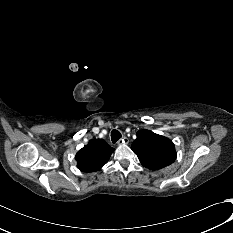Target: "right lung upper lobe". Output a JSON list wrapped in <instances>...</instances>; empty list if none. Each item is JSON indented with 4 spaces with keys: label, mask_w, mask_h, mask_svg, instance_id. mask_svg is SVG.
I'll list each match as a JSON object with an SVG mask.
<instances>
[{
    "label": "right lung upper lobe",
    "mask_w": 233,
    "mask_h": 233,
    "mask_svg": "<svg viewBox=\"0 0 233 233\" xmlns=\"http://www.w3.org/2000/svg\"><path fill=\"white\" fill-rule=\"evenodd\" d=\"M113 151L105 140L92 139L77 152V167L82 172L98 171L107 163Z\"/></svg>",
    "instance_id": "right-lung-upper-lobe-1"
}]
</instances>
